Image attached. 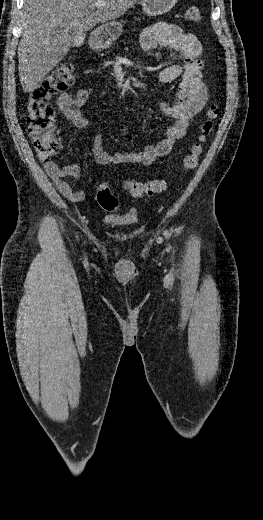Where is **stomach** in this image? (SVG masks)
I'll use <instances>...</instances> for the list:
<instances>
[{"instance_id": "obj_1", "label": "stomach", "mask_w": 263, "mask_h": 520, "mask_svg": "<svg viewBox=\"0 0 263 520\" xmlns=\"http://www.w3.org/2000/svg\"><path fill=\"white\" fill-rule=\"evenodd\" d=\"M178 0H141L143 12L148 16L162 15L170 11ZM123 31L121 22L113 21L94 30L90 36V45L94 49H105L116 40Z\"/></svg>"}]
</instances>
